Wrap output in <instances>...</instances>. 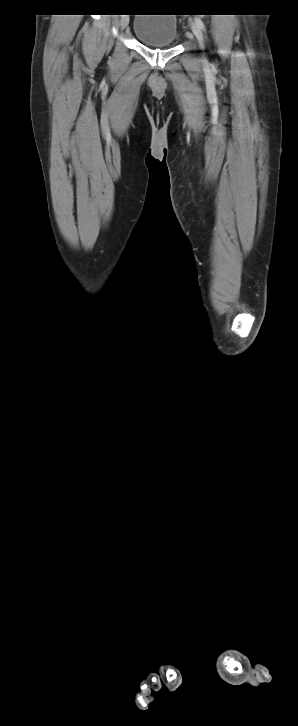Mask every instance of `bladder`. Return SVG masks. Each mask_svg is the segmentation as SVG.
I'll return each instance as SVG.
<instances>
[{"label":"bladder","instance_id":"obj_1","mask_svg":"<svg viewBox=\"0 0 298 726\" xmlns=\"http://www.w3.org/2000/svg\"><path fill=\"white\" fill-rule=\"evenodd\" d=\"M134 36L154 48L175 45L178 39L177 20L173 14H137L133 24Z\"/></svg>","mask_w":298,"mask_h":726}]
</instances>
